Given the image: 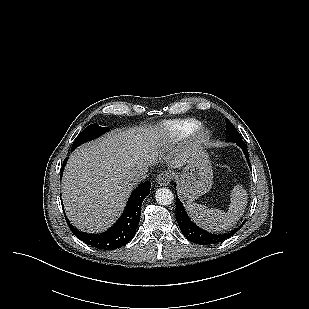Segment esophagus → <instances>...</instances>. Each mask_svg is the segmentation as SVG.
<instances>
[{"label":"esophagus","mask_w":309,"mask_h":309,"mask_svg":"<svg viewBox=\"0 0 309 309\" xmlns=\"http://www.w3.org/2000/svg\"><path fill=\"white\" fill-rule=\"evenodd\" d=\"M171 179L172 174L168 171H165L158 175L156 181L160 186H167L170 184Z\"/></svg>","instance_id":"obj_1"}]
</instances>
